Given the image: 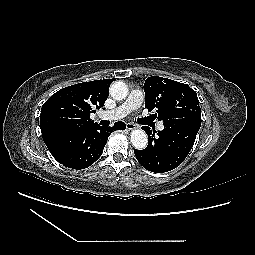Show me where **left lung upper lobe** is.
<instances>
[{"instance_id": "obj_1", "label": "left lung upper lobe", "mask_w": 255, "mask_h": 255, "mask_svg": "<svg viewBox=\"0 0 255 255\" xmlns=\"http://www.w3.org/2000/svg\"><path fill=\"white\" fill-rule=\"evenodd\" d=\"M145 107L163 124L201 123L197 93L187 84L152 76L144 83Z\"/></svg>"}]
</instances>
